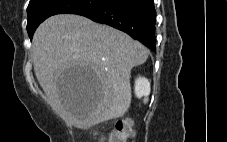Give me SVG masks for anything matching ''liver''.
Segmentation results:
<instances>
[{
    "label": "liver",
    "mask_w": 227,
    "mask_h": 142,
    "mask_svg": "<svg viewBox=\"0 0 227 142\" xmlns=\"http://www.w3.org/2000/svg\"><path fill=\"white\" fill-rule=\"evenodd\" d=\"M149 50L122 31L75 14L55 15L32 41L35 75L54 110L85 129L122 117L131 104L130 72L146 62ZM89 65L90 88H65L61 68Z\"/></svg>",
    "instance_id": "liver-1"
}]
</instances>
